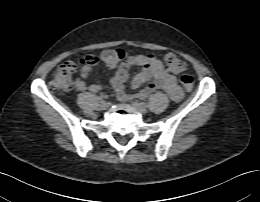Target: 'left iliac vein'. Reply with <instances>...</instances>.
<instances>
[{
    "mask_svg": "<svg viewBox=\"0 0 260 202\" xmlns=\"http://www.w3.org/2000/svg\"><path fill=\"white\" fill-rule=\"evenodd\" d=\"M131 105H132L133 108L138 110L140 113H142V114H146L147 113V108L144 105H142L141 103L132 102Z\"/></svg>",
    "mask_w": 260,
    "mask_h": 202,
    "instance_id": "left-iliac-vein-1",
    "label": "left iliac vein"
}]
</instances>
